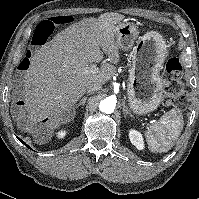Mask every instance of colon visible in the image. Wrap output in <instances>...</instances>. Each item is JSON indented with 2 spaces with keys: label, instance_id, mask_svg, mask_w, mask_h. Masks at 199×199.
I'll list each match as a JSON object with an SVG mask.
<instances>
[{
  "label": "colon",
  "instance_id": "obj_1",
  "mask_svg": "<svg viewBox=\"0 0 199 199\" xmlns=\"http://www.w3.org/2000/svg\"><path fill=\"white\" fill-rule=\"evenodd\" d=\"M62 22L60 17H49L42 21L33 36V44H44L48 37L53 33L55 27ZM183 71V66L179 58L172 57L168 59L165 65L163 78L165 81V95L163 104L169 105H186V96L183 91V85L180 80V75Z\"/></svg>",
  "mask_w": 199,
  "mask_h": 199
}]
</instances>
